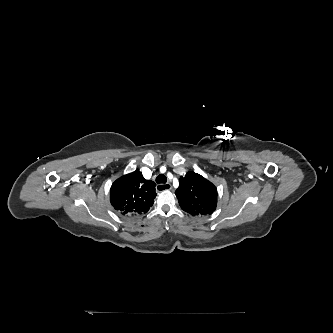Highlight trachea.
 <instances>
[{
	"instance_id": "obj_1",
	"label": "trachea",
	"mask_w": 333,
	"mask_h": 333,
	"mask_svg": "<svg viewBox=\"0 0 333 333\" xmlns=\"http://www.w3.org/2000/svg\"><path fill=\"white\" fill-rule=\"evenodd\" d=\"M156 182L161 184V183H166L167 182V178L165 175L160 174L156 177Z\"/></svg>"
}]
</instances>
